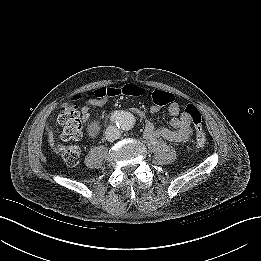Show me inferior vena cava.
Returning a JSON list of instances; mask_svg holds the SVG:
<instances>
[{"label":"inferior vena cava","instance_id":"1","mask_svg":"<svg viewBox=\"0 0 261 261\" xmlns=\"http://www.w3.org/2000/svg\"><path fill=\"white\" fill-rule=\"evenodd\" d=\"M105 137L109 142H113L120 137V131L115 126L107 127Z\"/></svg>","mask_w":261,"mask_h":261}]
</instances>
